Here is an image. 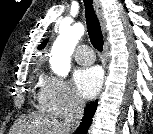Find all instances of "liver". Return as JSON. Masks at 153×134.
Segmentation results:
<instances>
[{
    "label": "liver",
    "mask_w": 153,
    "mask_h": 134,
    "mask_svg": "<svg viewBox=\"0 0 153 134\" xmlns=\"http://www.w3.org/2000/svg\"><path fill=\"white\" fill-rule=\"evenodd\" d=\"M23 130L35 134L39 132H46L47 134H64L61 123L44 115H32L23 125H21L20 120L18 125H15V132L22 134V132H24Z\"/></svg>",
    "instance_id": "obj_1"
}]
</instances>
